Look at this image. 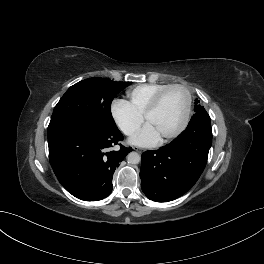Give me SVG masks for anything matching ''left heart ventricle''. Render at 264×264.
Listing matches in <instances>:
<instances>
[{
    "label": "left heart ventricle",
    "instance_id": "b2bd125f",
    "mask_svg": "<svg viewBox=\"0 0 264 264\" xmlns=\"http://www.w3.org/2000/svg\"><path fill=\"white\" fill-rule=\"evenodd\" d=\"M186 104V95L181 89H172L162 99L159 107L147 119L163 137L173 132L180 124Z\"/></svg>",
    "mask_w": 264,
    "mask_h": 264
}]
</instances>
